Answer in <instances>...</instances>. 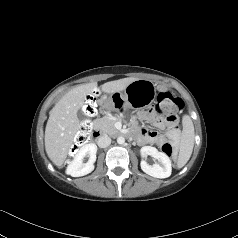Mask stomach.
Listing matches in <instances>:
<instances>
[{"instance_id":"0dacf381","label":"stomach","mask_w":238,"mask_h":238,"mask_svg":"<svg viewBox=\"0 0 238 238\" xmlns=\"http://www.w3.org/2000/svg\"><path fill=\"white\" fill-rule=\"evenodd\" d=\"M156 97L154 83L146 79H137L131 82L126 89L118 90L104 101L102 108L105 110L149 107Z\"/></svg>"}]
</instances>
